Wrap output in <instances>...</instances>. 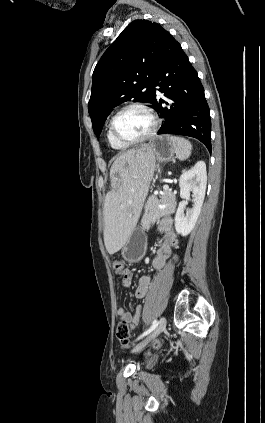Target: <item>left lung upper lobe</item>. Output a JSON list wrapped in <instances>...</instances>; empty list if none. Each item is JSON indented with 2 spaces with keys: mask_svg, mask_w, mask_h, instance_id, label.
Listing matches in <instances>:
<instances>
[{
  "mask_svg": "<svg viewBox=\"0 0 265 423\" xmlns=\"http://www.w3.org/2000/svg\"><path fill=\"white\" fill-rule=\"evenodd\" d=\"M167 32L148 20H134L105 51L93 72L88 110L99 135L112 109L130 99L153 103L152 81Z\"/></svg>",
  "mask_w": 265,
  "mask_h": 423,
  "instance_id": "1",
  "label": "left lung upper lobe"
}]
</instances>
